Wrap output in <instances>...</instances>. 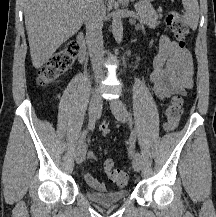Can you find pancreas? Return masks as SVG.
Here are the masks:
<instances>
[{"label": "pancreas", "instance_id": "obj_1", "mask_svg": "<svg viewBox=\"0 0 216 217\" xmlns=\"http://www.w3.org/2000/svg\"><path fill=\"white\" fill-rule=\"evenodd\" d=\"M136 9L140 21L149 28L154 29L160 24L158 19L162 18L161 9L158 10L159 14H157L153 6L146 2L137 3Z\"/></svg>", "mask_w": 216, "mask_h": 217}]
</instances>
